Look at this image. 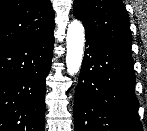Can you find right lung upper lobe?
Masks as SVG:
<instances>
[{
  "mask_svg": "<svg viewBox=\"0 0 147 131\" xmlns=\"http://www.w3.org/2000/svg\"><path fill=\"white\" fill-rule=\"evenodd\" d=\"M50 0H0V52L53 32Z\"/></svg>",
  "mask_w": 147,
  "mask_h": 131,
  "instance_id": "1",
  "label": "right lung upper lobe"
}]
</instances>
